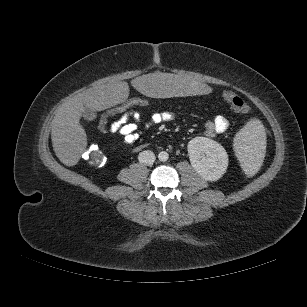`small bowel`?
<instances>
[{
    "mask_svg": "<svg viewBox=\"0 0 307 307\" xmlns=\"http://www.w3.org/2000/svg\"><path fill=\"white\" fill-rule=\"evenodd\" d=\"M174 118L175 115L173 112L161 111L152 113L148 119L144 120L138 111H132L124 118L113 122L110 126V132L120 135L124 143L133 144L140 138L142 132L171 122ZM228 127L229 121L221 115L215 116L205 124V130L208 136L224 133Z\"/></svg>",
    "mask_w": 307,
    "mask_h": 307,
    "instance_id": "c3829d8e",
    "label": "small bowel"
}]
</instances>
